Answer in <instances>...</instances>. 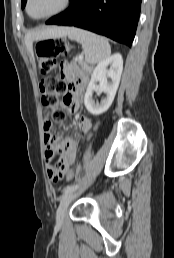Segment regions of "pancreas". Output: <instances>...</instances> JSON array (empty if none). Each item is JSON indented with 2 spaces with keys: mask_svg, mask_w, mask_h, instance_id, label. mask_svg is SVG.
Instances as JSON below:
<instances>
[{
  "mask_svg": "<svg viewBox=\"0 0 174 258\" xmlns=\"http://www.w3.org/2000/svg\"><path fill=\"white\" fill-rule=\"evenodd\" d=\"M75 61H77L79 63V65L82 67V69H84L85 71H87L88 73H91L93 70L92 66H88L83 59H79L78 57L75 58Z\"/></svg>",
  "mask_w": 174,
  "mask_h": 258,
  "instance_id": "obj_1",
  "label": "pancreas"
}]
</instances>
